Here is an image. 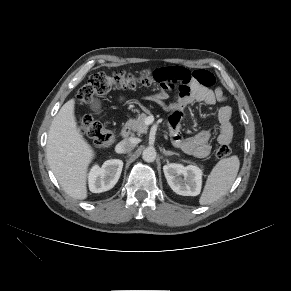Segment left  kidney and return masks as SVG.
<instances>
[{
  "label": "left kidney",
  "mask_w": 291,
  "mask_h": 291,
  "mask_svg": "<svg viewBox=\"0 0 291 291\" xmlns=\"http://www.w3.org/2000/svg\"><path fill=\"white\" fill-rule=\"evenodd\" d=\"M170 188L182 196H197L202 186V170L195 165L170 163L163 166Z\"/></svg>",
  "instance_id": "5707ae66"
}]
</instances>
